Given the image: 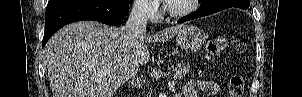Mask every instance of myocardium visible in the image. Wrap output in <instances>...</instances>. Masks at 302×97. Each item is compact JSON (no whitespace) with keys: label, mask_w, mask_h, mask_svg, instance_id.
Instances as JSON below:
<instances>
[{"label":"myocardium","mask_w":302,"mask_h":97,"mask_svg":"<svg viewBox=\"0 0 302 97\" xmlns=\"http://www.w3.org/2000/svg\"><path fill=\"white\" fill-rule=\"evenodd\" d=\"M198 2L199 0H189L188 6L179 10L173 9L170 3L166 2L164 10L171 18H182L194 12L198 6Z\"/></svg>","instance_id":"f54148a6"}]
</instances>
